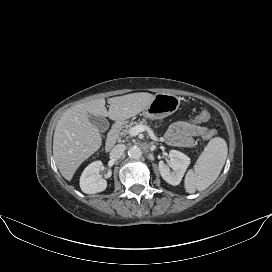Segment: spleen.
Segmentation results:
<instances>
[{"mask_svg":"<svg viewBox=\"0 0 272 272\" xmlns=\"http://www.w3.org/2000/svg\"><path fill=\"white\" fill-rule=\"evenodd\" d=\"M228 148L226 141L215 137L209 141L199 156L194 170L188 171L185 176L184 187L187 193L202 191L209 187L219 176L227 158Z\"/></svg>","mask_w":272,"mask_h":272,"instance_id":"1","label":"spleen"}]
</instances>
